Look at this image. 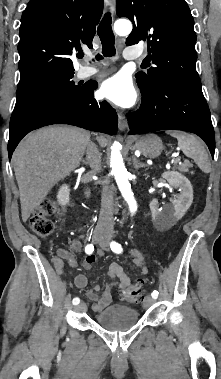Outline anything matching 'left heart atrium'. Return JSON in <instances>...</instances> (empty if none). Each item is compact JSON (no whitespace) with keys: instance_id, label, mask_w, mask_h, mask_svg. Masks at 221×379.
I'll return each mask as SVG.
<instances>
[{"instance_id":"obj_1","label":"left heart atrium","mask_w":221,"mask_h":379,"mask_svg":"<svg viewBox=\"0 0 221 379\" xmlns=\"http://www.w3.org/2000/svg\"><path fill=\"white\" fill-rule=\"evenodd\" d=\"M102 98L120 107H129L136 100V91L131 80L122 74H117L105 80L99 90Z\"/></svg>"}]
</instances>
